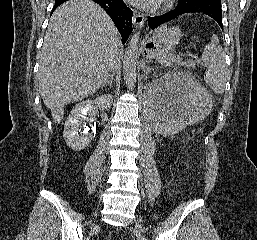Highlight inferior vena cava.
<instances>
[{"label":"inferior vena cava","instance_id":"inferior-vena-cava-1","mask_svg":"<svg viewBox=\"0 0 257 240\" xmlns=\"http://www.w3.org/2000/svg\"><path fill=\"white\" fill-rule=\"evenodd\" d=\"M118 57H119L118 55L115 56V60H114V62H113V65H112V68H111V70H110V73H109V75H108L107 81L110 80V78L113 76V74H114V72H115V69H116V66H117Z\"/></svg>","mask_w":257,"mask_h":240}]
</instances>
